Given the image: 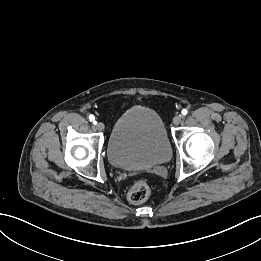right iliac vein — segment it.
<instances>
[{"mask_svg":"<svg viewBox=\"0 0 261 261\" xmlns=\"http://www.w3.org/2000/svg\"><path fill=\"white\" fill-rule=\"evenodd\" d=\"M95 127H96V129H97L98 131H103L104 128H105V126H104V124H103L102 122H97V123L95 124Z\"/></svg>","mask_w":261,"mask_h":261,"instance_id":"right-iliac-vein-1","label":"right iliac vein"}]
</instances>
